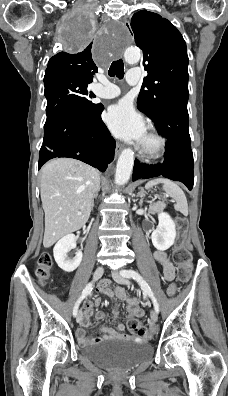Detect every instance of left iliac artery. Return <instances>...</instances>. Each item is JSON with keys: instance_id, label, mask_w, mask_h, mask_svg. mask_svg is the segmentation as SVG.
Segmentation results:
<instances>
[{"instance_id": "obj_1", "label": "left iliac artery", "mask_w": 228, "mask_h": 396, "mask_svg": "<svg viewBox=\"0 0 228 396\" xmlns=\"http://www.w3.org/2000/svg\"><path fill=\"white\" fill-rule=\"evenodd\" d=\"M120 274L123 277L132 278V279L136 280L138 282V284L140 285L141 289L143 290L144 294L148 295L151 298V300L153 302V305H154V308H155V311L157 313H159V305L157 303V300H156V298H155L150 286L142 278V276L139 273H137L136 271L131 270V269L130 270H122L120 272Z\"/></svg>"}]
</instances>
